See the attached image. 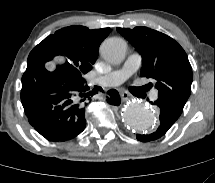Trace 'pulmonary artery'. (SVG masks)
<instances>
[{"instance_id": "1", "label": "pulmonary artery", "mask_w": 215, "mask_h": 183, "mask_svg": "<svg viewBox=\"0 0 215 183\" xmlns=\"http://www.w3.org/2000/svg\"><path fill=\"white\" fill-rule=\"evenodd\" d=\"M142 58L138 53L131 54L125 61L122 68L112 71L111 73L97 78L96 84L103 87H116L125 82L131 77L141 66ZM158 91L154 90L151 93V99L156 100Z\"/></svg>"}]
</instances>
